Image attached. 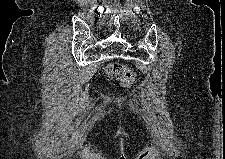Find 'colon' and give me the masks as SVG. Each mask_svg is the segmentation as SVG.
I'll return each mask as SVG.
<instances>
[{"label":"colon","instance_id":"obj_1","mask_svg":"<svg viewBox=\"0 0 225 159\" xmlns=\"http://www.w3.org/2000/svg\"><path fill=\"white\" fill-rule=\"evenodd\" d=\"M109 79L119 80L124 87H130L135 81V72L121 63H111L106 67Z\"/></svg>","mask_w":225,"mask_h":159}]
</instances>
